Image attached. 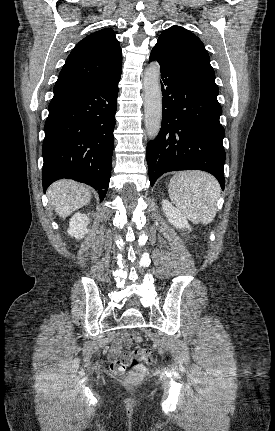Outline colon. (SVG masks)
<instances>
[{
    "label": "colon",
    "instance_id": "obj_1",
    "mask_svg": "<svg viewBox=\"0 0 275 431\" xmlns=\"http://www.w3.org/2000/svg\"><path fill=\"white\" fill-rule=\"evenodd\" d=\"M126 342L134 341L140 343L142 337L139 333H133L131 336L126 337ZM153 361V354L150 349L138 347L134 350L133 360L131 362V369L128 375V382L135 383L140 381L145 374L144 363L150 364Z\"/></svg>",
    "mask_w": 275,
    "mask_h": 431
}]
</instances>
